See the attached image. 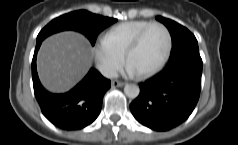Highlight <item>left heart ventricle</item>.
Returning <instances> with one entry per match:
<instances>
[{
  "instance_id": "b2bd125f",
  "label": "left heart ventricle",
  "mask_w": 238,
  "mask_h": 145,
  "mask_svg": "<svg viewBox=\"0 0 238 145\" xmlns=\"http://www.w3.org/2000/svg\"><path fill=\"white\" fill-rule=\"evenodd\" d=\"M167 38L160 27H152L144 36L140 45L130 54L127 62L138 73L153 68L162 58L166 50Z\"/></svg>"
}]
</instances>
